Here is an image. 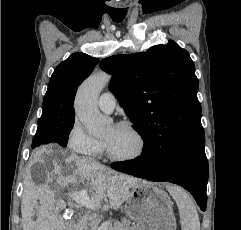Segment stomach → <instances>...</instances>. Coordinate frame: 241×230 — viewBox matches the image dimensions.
Segmentation results:
<instances>
[{"instance_id": "obj_1", "label": "stomach", "mask_w": 241, "mask_h": 230, "mask_svg": "<svg viewBox=\"0 0 241 230\" xmlns=\"http://www.w3.org/2000/svg\"><path fill=\"white\" fill-rule=\"evenodd\" d=\"M135 221L133 230H176V219L168 194L153 183L141 181L132 187L125 205Z\"/></svg>"}]
</instances>
